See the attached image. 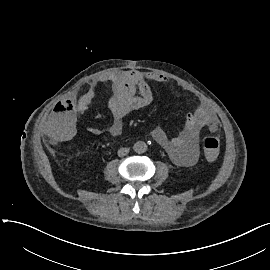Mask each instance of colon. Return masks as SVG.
Wrapping results in <instances>:
<instances>
[{
    "label": "colon",
    "mask_w": 270,
    "mask_h": 270,
    "mask_svg": "<svg viewBox=\"0 0 270 270\" xmlns=\"http://www.w3.org/2000/svg\"><path fill=\"white\" fill-rule=\"evenodd\" d=\"M202 148L208 158H214L218 151L220 142L215 134H207L201 140Z\"/></svg>",
    "instance_id": "obj_1"
}]
</instances>
